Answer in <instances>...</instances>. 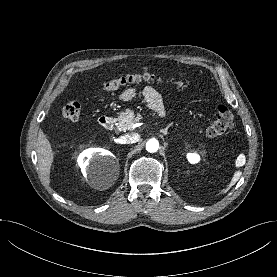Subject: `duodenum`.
<instances>
[{
    "mask_svg": "<svg viewBox=\"0 0 277 277\" xmlns=\"http://www.w3.org/2000/svg\"><path fill=\"white\" fill-rule=\"evenodd\" d=\"M114 123H115V121L112 116H101L99 118V124L107 130L112 129L114 126Z\"/></svg>",
    "mask_w": 277,
    "mask_h": 277,
    "instance_id": "1",
    "label": "duodenum"
}]
</instances>
